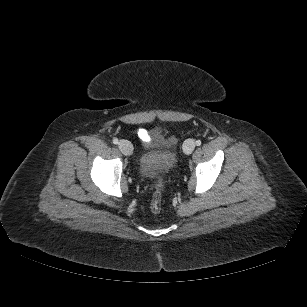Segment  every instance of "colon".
Instances as JSON below:
<instances>
[{
  "label": "colon",
  "instance_id": "1",
  "mask_svg": "<svg viewBox=\"0 0 307 307\" xmlns=\"http://www.w3.org/2000/svg\"><path fill=\"white\" fill-rule=\"evenodd\" d=\"M163 186V179L158 178L156 180V192L154 193L152 202H151V210L154 213H158L161 210V188Z\"/></svg>",
  "mask_w": 307,
  "mask_h": 307
}]
</instances>
